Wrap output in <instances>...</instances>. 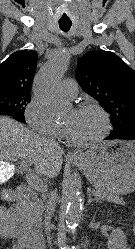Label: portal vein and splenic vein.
I'll list each match as a JSON object with an SVG mask.
<instances>
[{"label": "portal vein and splenic vein", "instance_id": "portal-vein-and-splenic-vein-1", "mask_svg": "<svg viewBox=\"0 0 135 249\" xmlns=\"http://www.w3.org/2000/svg\"><path fill=\"white\" fill-rule=\"evenodd\" d=\"M30 165H31V162L29 160L23 161L20 165L21 171L25 173L26 175V181L28 185L40 191L44 190V186L42 182L40 181V179L36 175L29 172L28 167ZM13 170L14 168L12 164L1 163L0 164V178L11 176L13 174ZM92 194L95 195L94 192H92Z\"/></svg>", "mask_w": 135, "mask_h": 249}]
</instances>
